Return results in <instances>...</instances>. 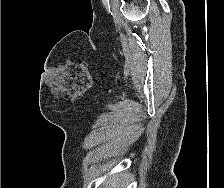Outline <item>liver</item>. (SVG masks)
<instances>
[{"label": "liver", "instance_id": "1", "mask_svg": "<svg viewBox=\"0 0 224 188\" xmlns=\"http://www.w3.org/2000/svg\"><path fill=\"white\" fill-rule=\"evenodd\" d=\"M110 185L115 186V177L110 178L109 182ZM104 188H110V187H104Z\"/></svg>", "mask_w": 224, "mask_h": 188}]
</instances>
